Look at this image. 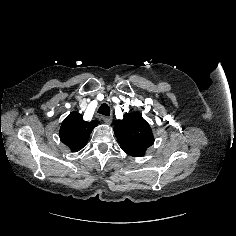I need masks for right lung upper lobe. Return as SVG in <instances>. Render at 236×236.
Wrapping results in <instances>:
<instances>
[{
    "label": "right lung upper lobe",
    "instance_id": "cb5924a9",
    "mask_svg": "<svg viewBox=\"0 0 236 236\" xmlns=\"http://www.w3.org/2000/svg\"><path fill=\"white\" fill-rule=\"evenodd\" d=\"M98 124L99 122L95 120L84 121L81 114L72 112L61 124L60 139L72 152H77L87 144L90 133Z\"/></svg>",
    "mask_w": 236,
    "mask_h": 236
}]
</instances>
